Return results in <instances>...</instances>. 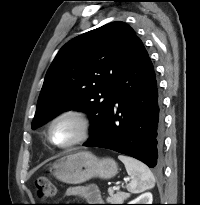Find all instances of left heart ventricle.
<instances>
[{"label":"left heart ventricle","mask_w":200,"mask_h":205,"mask_svg":"<svg viewBox=\"0 0 200 205\" xmlns=\"http://www.w3.org/2000/svg\"><path fill=\"white\" fill-rule=\"evenodd\" d=\"M78 133L77 125L71 120L58 122L52 132L53 139L58 144H65L73 140Z\"/></svg>","instance_id":"left-heart-ventricle-1"}]
</instances>
